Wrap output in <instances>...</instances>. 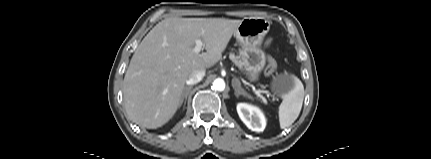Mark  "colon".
<instances>
[{"instance_id":"1","label":"colon","mask_w":431,"mask_h":159,"mask_svg":"<svg viewBox=\"0 0 431 159\" xmlns=\"http://www.w3.org/2000/svg\"><path fill=\"white\" fill-rule=\"evenodd\" d=\"M271 42H272L271 39H267L266 45L267 46L270 45ZM275 68H276V61L272 57H268L267 66L265 69V74L267 76H271L273 74Z\"/></svg>"}]
</instances>
